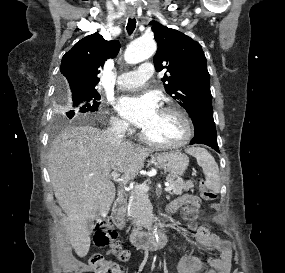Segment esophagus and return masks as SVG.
<instances>
[{"mask_svg": "<svg viewBox=\"0 0 285 273\" xmlns=\"http://www.w3.org/2000/svg\"><path fill=\"white\" fill-rule=\"evenodd\" d=\"M128 16L133 18L135 16V11H128Z\"/></svg>", "mask_w": 285, "mask_h": 273, "instance_id": "34e87169", "label": "esophagus"}]
</instances>
